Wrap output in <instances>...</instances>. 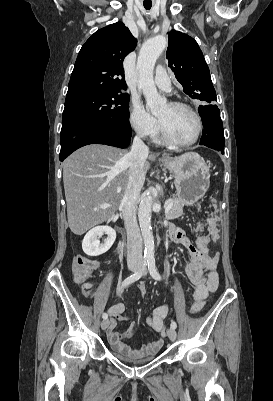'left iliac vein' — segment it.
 I'll return each mask as SVG.
<instances>
[{"instance_id":"obj_1","label":"left iliac vein","mask_w":273,"mask_h":401,"mask_svg":"<svg viewBox=\"0 0 273 401\" xmlns=\"http://www.w3.org/2000/svg\"><path fill=\"white\" fill-rule=\"evenodd\" d=\"M167 335H168V337H169V339H170L171 341H175V340H176L177 334H176L175 329L169 328V329L167 330Z\"/></svg>"}]
</instances>
